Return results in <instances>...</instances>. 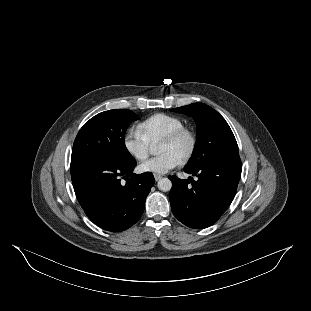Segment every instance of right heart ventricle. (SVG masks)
<instances>
[{"mask_svg": "<svg viewBox=\"0 0 311 311\" xmlns=\"http://www.w3.org/2000/svg\"><path fill=\"white\" fill-rule=\"evenodd\" d=\"M185 124L186 122L179 116L168 113H154L143 119L139 123V128L152 145Z\"/></svg>", "mask_w": 311, "mask_h": 311, "instance_id": "obj_1", "label": "right heart ventricle"}]
</instances>
